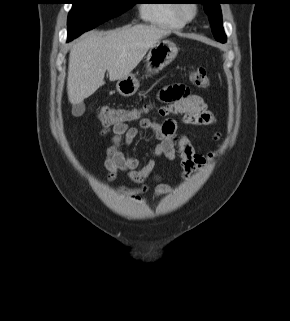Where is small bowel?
Listing matches in <instances>:
<instances>
[{"label": "small bowel", "instance_id": "obj_1", "mask_svg": "<svg viewBox=\"0 0 290 321\" xmlns=\"http://www.w3.org/2000/svg\"><path fill=\"white\" fill-rule=\"evenodd\" d=\"M159 99L165 104L158 112L163 121L156 118H142L139 127H129L127 124L106 126L101 135L112 132L111 143L106 150L104 167L110 180H114L119 171L125 172L128 177L139 184V187H123L122 191L134 200L140 199V194L149 189L146 181L152 174L155 166L154 158L164 156L174 161L178 154L181 168L185 174L199 169L206 159L199 155L191 141L178 132V122L172 115H181L182 123L211 127L218 124L216 116L207 108L204 100L197 95L189 94L181 85H172L164 88L159 93ZM145 130L154 136L159 143L151 151L150 158L143 167L139 168V160L123 148L130 147L140 134ZM219 134L214 135L218 139ZM170 187L157 183L153 189L155 195L168 193Z\"/></svg>", "mask_w": 290, "mask_h": 321}]
</instances>
